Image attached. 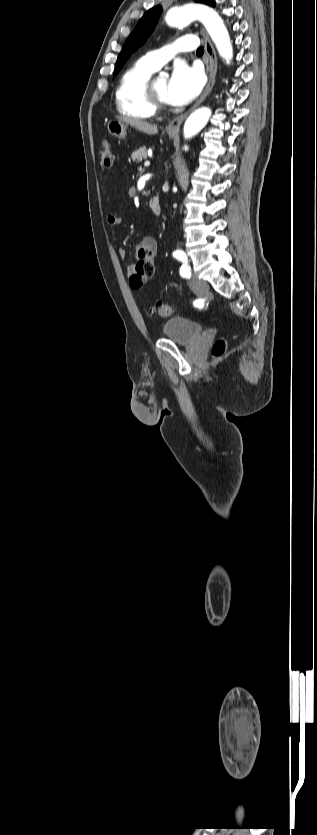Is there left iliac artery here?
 Returning a JSON list of instances; mask_svg holds the SVG:
<instances>
[{"instance_id":"44dca946","label":"left iliac artery","mask_w":317,"mask_h":835,"mask_svg":"<svg viewBox=\"0 0 317 835\" xmlns=\"http://www.w3.org/2000/svg\"><path fill=\"white\" fill-rule=\"evenodd\" d=\"M173 256H174V258H176L177 260H179L183 263L181 268H180V275L184 278H190L191 272H190V268L187 264V256L184 253V251L180 250V249L175 250L173 252Z\"/></svg>"}]
</instances>
